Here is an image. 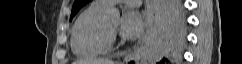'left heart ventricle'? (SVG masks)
Returning a JSON list of instances; mask_svg holds the SVG:
<instances>
[{
  "mask_svg": "<svg viewBox=\"0 0 242 64\" xmlns=\"http://www.w3.org/2000/svg\"><path fill=\"white\" fill-rule=\"evenodd\" d=\"M106 24H107L108 28L113 29V30H114V28H115V26H116L115 23L110 22V21H106Z\"/></svg>",
  "mask_w": 242,
  "mask_h": 64,
  "instance_id": "b2bd125f",
  "label": "left heart ventricle"
}]
</instances>
